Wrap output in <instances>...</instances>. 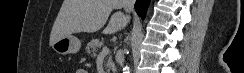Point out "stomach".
<instances>
[{
	"label": "stomach",
	"instance_id": "0dacf381",
	"mask_svg": "<svg viewBox=\"0 0 244 73\" xmlns=\"http://www.w3.org/2000/svg\"><path fill=\"white\" fill-rule=\"evenodd\" d=\"M80 47V40L73 35L62 37L52 44V49L60 55L77 53Z\"/></svg>",
	"mask_w": 244,
	"mask_h": 73
}]
</instances>
